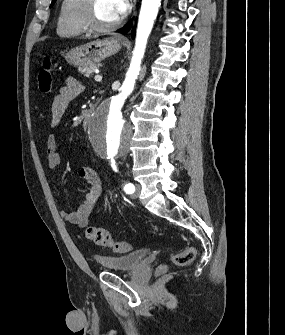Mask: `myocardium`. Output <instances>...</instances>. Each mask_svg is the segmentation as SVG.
Here are the masks:
<instances>
[{
  "instance_id": "1",
  "label": "myocardium",
  "mask_w": 285,
  "mask_h": 335,
  "mask_svg": "<svg viewBox=\"0 0 285 335\" xmlns=\"http://www.w3.org/2000/svg\"><path fill=\"white\" fill-rule=\"evenodd\" d=\"M94 11H95V1H84L82 19L86 32L94 35L106 34L115 30L118 27L119 20H117L115 23L109 26L97 25L94 20Z\"/></svg>"
}]
</instances>
